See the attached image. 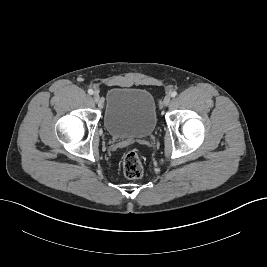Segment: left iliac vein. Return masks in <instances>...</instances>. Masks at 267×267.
<instances>
[{
	"mask_svg": "<svg viewBox=\"0 0 267 267\" xmlns=\"http://www.w3.org/2000/svg\"><path fill=\"white\" fill-rule=\"evenodd\" d=\"M171 101V96L170 95H166L164 100H163V105L167 106Z\"/></svg>",
	"mask_w": 267,
	"mask_h": 267,
	"instance_id": "obj_1",
	"label": "left iliac vein"
}]
</instances>
